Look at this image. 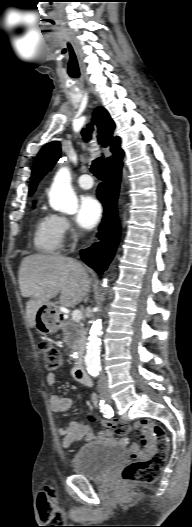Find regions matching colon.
Returning <instances> with one entry per match:
<instances>
[{"label":"colon","mask_w":192,"mask_h":527,"mask_svg":"<svg viewBox=\"0 0 192 527\" xmlns=\"http://www.w3.org/2000/svg\"><path fill=\"white\" fill-rule=\"evenodd\" d=\"M40 350L43 354L46 367L49 371L60 372L64 363L59 350L49 342H41ZM92 419H94L92 417ZM102 424L112 429L117 434H126L130 430V425L117 419L102 420ZM152 433L154 438L155 450L150 458L146 460H133L122 470L121 478L126 483H153L156 481L163 470L169 451V440L164 429L158 425L141 422ZM43 510L47 505L45 495L39 500Z\"/></svg>","instance_id":"5ec220e1"}]
</instances>
